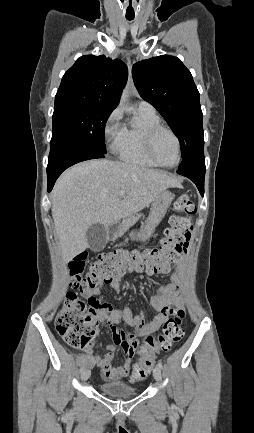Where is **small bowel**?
Wrapping results in <instances>:
<instances>
[{
	"instance_id": "obj_1",
	"label": "small bowel",
	"mask_w": 254,
	"mask_h": 433,
	"mask_svg": "<svg viewBox=\"0 0 254 433\" xmlns=\"http://www.w3.org/2000/svg\"><path fill=\"white\" fill-rule=\"evenodd\" d=\"M184 258L178 256L170 261L166 267L157 273H169L172 267H180ZM153 274V273H149ZM110 288L118 290L120 287V276L114 278L107 284ZM180 282L174 278L171 282L164 284L157 295L151 296V305L158 311L153 320L147 322L144 312L134 313L132 309L127 306L123 310H114L110 304L101 302L99 299V320L104 328L114 337L115 344L107 345V353H88L79 358V363L83 368L90 369L97 366L103 379L108 381L118 380L121 378L130 377V369L132 359L136 353V348L139 347V340L137 337L144 336L158 330L165 320L171 316L176 310H182V301L175 300L174 297L179 290ZM99 290L84 292L83 296L87 299L96 297ZM126 323L134 328L133 332L122 330L118 327L120 323ZM119 346L124 354L125 360L118 366H113L111 361L113 359L114 351Z\"/></svg>"
}]
</instances>
